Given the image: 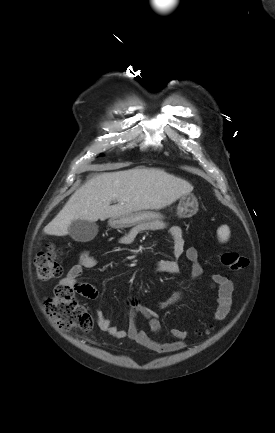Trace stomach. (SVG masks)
I'll use <instances>...</instances> for the list:
<instances>
[{
    "label": "stomach",
    "mask_w": 275,
    "mask_h": 433,
    "mask_svg": "<svg viewBox=\"0 0 275 433\" xmlns=\"http://www.w3.org/2000/svg\"><path fill=\"white\" fill-rule=\"evenodd\" d=\"M198 211V201L192 194L182 196L177 207V216L179 218H190ZM162 216L153 211H142L127 214L119 217L110 218L109 226L112 228H126L137 224L148 223L153 220H161Z\"/></svg>",
    "instance_id": "0dacf381"
}]
</instances>
